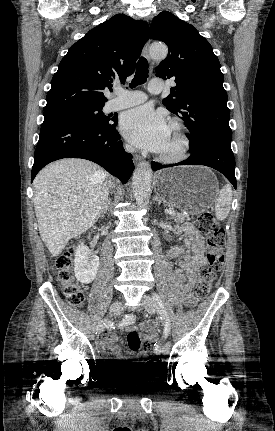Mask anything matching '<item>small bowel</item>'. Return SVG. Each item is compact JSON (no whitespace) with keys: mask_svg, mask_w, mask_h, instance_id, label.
<instances>
[{"mask_svg":"<svg viewBox=\"0 0 275 431\" xmlns=\"http://www.w3.org/2000/svg\"><path fill=\"white\" fill-rule=\"evenodd\" d=\"M179 231L184 233L187 253L174 270V276L180 284L183 303L190 307L196 303V298L193 295V287L197 279L198 271L205 263V241L203 235L192 223L184 224ZM167 255L169 258H177L179 255V247H171L167 251ZM157 336L156 324L154 322L149 321L141 325V338L143 341H148L150 343L155 342ZM117 341L118 337L115 333H104L98 342L99 352L101 354L110 352L115 356H120L121 350ZM142 354L145 353L142 352Z\"/></svg>","mask_w":275,"mask_h":431,"instance_id":"1","label":"small bowel"}]
</instances>
